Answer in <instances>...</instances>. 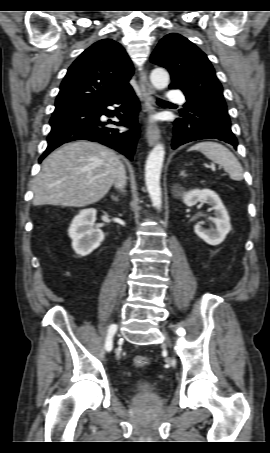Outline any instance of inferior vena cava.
Segmentation results:
<instances>
[{"label":"inferior vena cava","mask_w":270,"mask_h":453,"mask_svg":"<svg viewBox=\"0 0 270 453\" xmlns=\"http://www.w3.org/2000/svg\"><path fill=\"white\" fill-rule=\"evenodd\" d=\"M114 184H115V187L118 189L123 188L126 184L125 168H124V165L120 161L117 163L116 168H115Z\"/></svg>","instance_id":"inferior-vena-cava-1"}]
</instances>
